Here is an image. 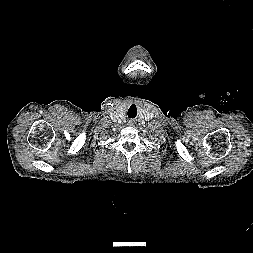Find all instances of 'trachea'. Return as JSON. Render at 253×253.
Returning <instances> with one entry per match:
<instances>
[{
  "instance_id": "3493384b",
  "label": "trachea",
  "mask_w": 253,
  "mask_h": 253,
  "mask_svg": "<svg viewBox=\"0 0 253 253\" xmlns=\"http://www.w3.org/2000/svg\"><path fill=\"white\" fill-rule=\"evenodd\" d=\"M135 112L137 113L136 106L132 105L128 110V117L134 118L136 116Z\"/></svg>"
}]
</instances>
